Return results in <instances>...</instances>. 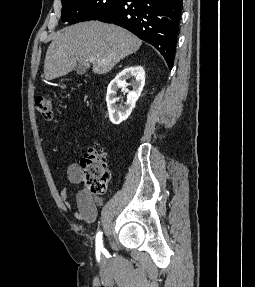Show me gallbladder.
<instances>
[{
	"instance_id": "gallbladder-1",
	"label": "gallbladder",
	"mask_w": 255,
	"mask_h": 287,
	"mask_svg": "<svg viewBox=\"0 0 255 287\" xmlns=\"http://www.w3.org/2000/svg\"><path fill=\"white\" fill-rule=\"evenodd\" d=\"M76 72L77 74H85L86 68H77Z\"/></svg>"
}]
</instances>
